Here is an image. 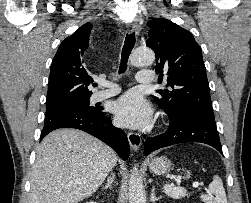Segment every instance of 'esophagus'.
I'll list each match as a JSON object with an SVG mask.
<instances>
[{"label": "esophagus", "mask_w": 251, "mask_h": 203, "mask_svg": "<svg viewBox=\"0 0 251 203\" xmlns=\"http://www.w3.org/2000/svg\"><path fill=\"white\" fill-rule=\"evenodd\" d=\"M132 31L135 32L136 34H139L140 26L137 23H134L132 25ZM127 137H128V141H129L131 148L134 151L139 150V148L141 147V144H142V139H141L140 134L135 133V132H129L127 134Z\"/></svg>", "instance_id": "esophagus-1"}]
</instances>
